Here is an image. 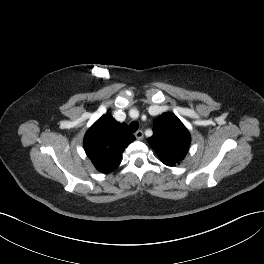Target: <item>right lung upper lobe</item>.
<instances>
[{"label": "right lung upper lobe", "instance_id": "1", "mask_svg": "<svg viewBox=\"0 0 264 264\" xmlns=\"http://www.w3.org/2000/svg\"><path fill=\"white\" fill-rule=\"evenodd\" d=\"M133 141L134 137L124 123L105 114L87 131L84 148L100 172L110 173L119 166L123 151Z\"/></svg>", "mask_w": 264, "mask_h": 264}]
</instances>
